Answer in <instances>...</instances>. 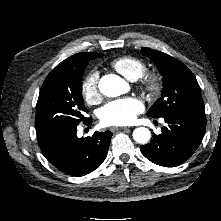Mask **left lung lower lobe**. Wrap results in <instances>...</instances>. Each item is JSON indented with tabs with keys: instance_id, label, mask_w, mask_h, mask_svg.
<instances>
[{
	"instance_id": "1",
	"label": "left lung lower lobe",
	"mask_w": 221,
	"mask_h": 221,
	"mask_svg": "<svg viewBox=\"0 0 221 221\" xmlns=\"http://www.w3.org/2000/svg\"><path fill=\"white\" fill-rule=\"evenodd\" d=\"M166 126L160 135L153 134L150 143L140 147L151 162L175 167L189 159L200 145L206 129L203 114L182 112L163 117Z\"/></svg>"
}]
</instances>
